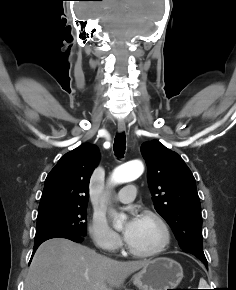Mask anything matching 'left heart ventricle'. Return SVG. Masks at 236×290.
Here are the masks:
<instances>
[{
  "mask_svg": "<svg viewBox=\"0 0 236 290\" xmlns=\"http://www.w3.org/2000/svg\"><path fill=\"white\" fill-rule=\"evenodd\" d=\"M161 238L162 234L158 225L151 219L140 217L135 234L128 243L138 250H151L160 243Z\"/></svg>",
  "mask_w": 236,
  "mask_h": 290,
  "instance_id": "left-heart-ventricle-1",
  "label": "left heart ventricle"
}]
</instances>
